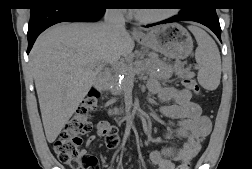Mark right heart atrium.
<instances>
[{
	"label": "right heart atrium",
	"instance_id": "d8ad5b80",
	"mask_svg": "<svg viewBox=\"0 0 252 169\" xmlns=\"http://www.w3.org/2000/svg\"><path fill=\"white\" fill-rule=\"evenodd\" d=\"M114 11H115L116 13H118V14H121V15H123V14L126 13L125 9H114Z\"/></svg>",
	"mask_w": 252,
	"mask_h": 169
}]
</instances>
